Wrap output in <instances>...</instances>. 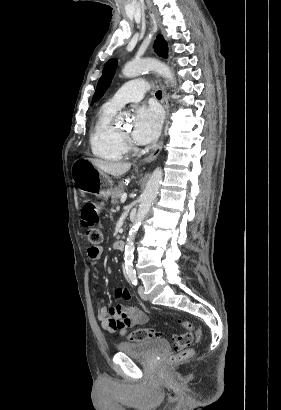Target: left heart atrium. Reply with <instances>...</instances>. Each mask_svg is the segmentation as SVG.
I'll return each mask as SVG.
<instances>
[{"label":"left heart atrium","mask_w":281,"mask_h":410,"mask_svg":"<svg viewBox=\"0 0 281 410\" xmlns=\"http://www.w3.org/2000/svg\"><path fill=\"white\" fill-rule=\"evenodd\" d=\"M162 115L156 107H140L135 112L132 137L142 145L154 141L161 129Z\"/></svg>","instance_id":"1"}]
</instances>
